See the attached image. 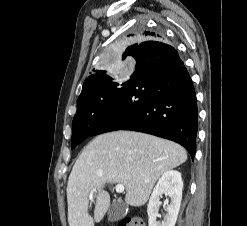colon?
<instances>
[{
  "mask_svg": "<svg viewBox=\"0 0 247 226\" xmlns=\"http://www.w3.org/2000/svg\"><path fill=\"white\" fill-rule=\"evenodd\" d=\"M118 226H145L142 219L138 217H128L119 222Z\"/></svg>",
  "mask_w": 247,
  "mask_h": 226,
  "instance_id": "obj_1",
  "label": "colon"
}]
</instances>
